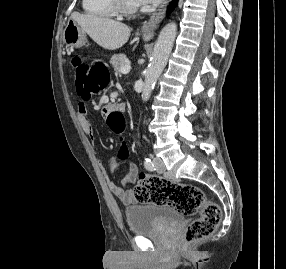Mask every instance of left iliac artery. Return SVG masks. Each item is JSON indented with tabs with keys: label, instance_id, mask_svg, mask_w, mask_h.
<instances>
[{
	"label": "left iliac artery",
	"instance_id": "44dca946",
	"mask_svg": "<svg viewBox=\"0 0 286 269\" xmlns=\"http://www.w3.org/2000/svg\"><path fill=\"white\" fill-rule=\"evenodd\" d=\"M144 166L149 171H154L155 170L154 163L151 161L150 158H145Z\"/></svg>",
	"mask_w": 286,
	"mask_h": 269
}]
</instances>
